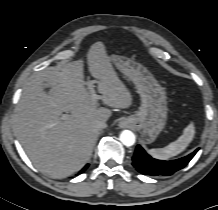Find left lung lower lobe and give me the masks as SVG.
Returning a JSON list of instances; mask_svg holds the SVG:
<instances>
[{"label":"left lung lower lobe","mask_w":218,"mask_h":210,"mask_svg":"<svg viewBox=\"0 0 218 210\" xmlns=\"http://www.w3.org/2000/svg\"><path fill=\"white\" fill-rule=\"evenodd\" d=\"M198 150L199 148L196 149L193 153L177 160L162 161L152 158L140 145H137L132 158V165L138 172L144 175L169 176L184 168L198 152Z\"/></svg>","instance_id":"1"}]
</instances>
